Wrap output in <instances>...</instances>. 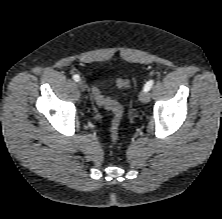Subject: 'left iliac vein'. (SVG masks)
<instances>
[{
	"label": "left iliac vein",
	"instance_id": "1",
	"mask_svg": "<svg viewBox=\"0 0 222 219\" xmlns=\"http://www.w3.org/2000/svg\"><path fill=\"white\" fill-rule=\"evenodd\" d=\"M139 100L142 103H147L150 100V93L148 91L143 90L140 94H139Z\"/></svg>",
	"mask_w": 222,
	"mask_h": 219
}]
</instances>
